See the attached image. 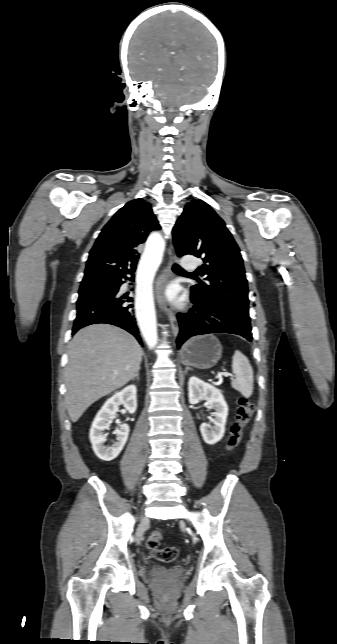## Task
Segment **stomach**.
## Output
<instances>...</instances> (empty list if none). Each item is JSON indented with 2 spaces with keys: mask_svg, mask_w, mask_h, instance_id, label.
<instances>
[{
  "mask_svg": "<svg viewBox=\"0 0 337 644\" xmlns=\"http://www.w3.org/2000/svg\"><path fill=\"white\" fill-rule=\"evenodd\" d=\"M222 356L220 341L213 335L196 336L180 351L181 362L198 369L214 367Z\"/></svg>",
  "mask_w": 337,
  "mask_h": 644,
  "instance_id": "0dacf381",
  "label": "stomach"
}]
</instances>
